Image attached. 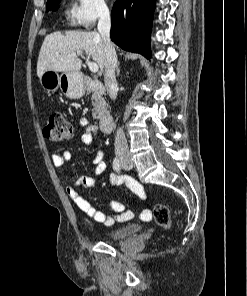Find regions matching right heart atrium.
I'll list each match as a JSON object with an SVG mask.
<instances>
[{"instance_id":"1","label":"right heart atrium","mask_w":247,"mask_h":296,"mask_svg":"<svg viewBox=\"0 0 247 296\" xmlns=\"http://www.w3.org/2000/svg\"><path fill=\"white\" fill-rule=\"evenodd\" d=\"M110 14L106 0H73L68 11L69 21L83 28L92 27Z\"/></svg>"}]
</instances>
